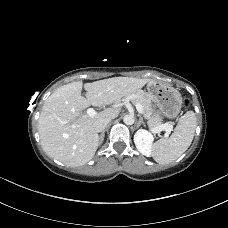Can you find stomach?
I'll return each instance as SVG.
<instances>
[{
  "label": "stomach",
  "mask_w": 228,
  "mask_h": 228,
  "mask_svg": "<svg viewBox=\"0 0 228 228\" xmlns=\"http://www.w3.org/2000/svg\"><path fill=\"white\" fill-rule=\"evenodd\" d=\"M146 89L145 94L157 104L164 116L170 119L177 117L183 102L177 89L156 81L147 83Z\"/></svg>",
  "instance_id": "obj_1"
}]
</instances>
